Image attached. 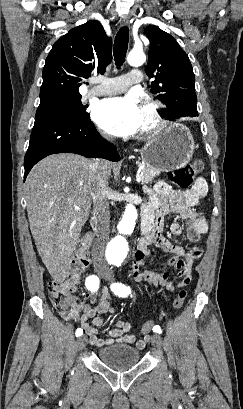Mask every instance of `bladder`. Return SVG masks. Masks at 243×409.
<instances>
[{
    "label": "bladder",
    "instance_id": "1",
    "mask_svg": "<svg viewBox=\"0 0 243 409\" xmlns=\"http://www.w3.org/2000/svg\"><path fill=\"white\" fill-rule=\"evenodd\" d=\"M98 360L114 370H124L135 366L141 357L140 351L130 345L116 343L99 349Z\"/></svg>",
    "mask_w": 243,
    "mask_h": 409
}]
</instances>
